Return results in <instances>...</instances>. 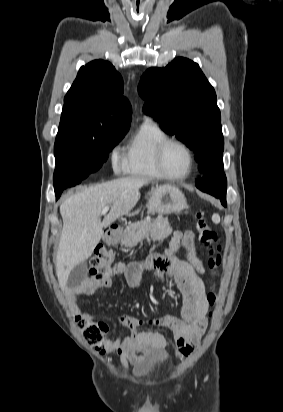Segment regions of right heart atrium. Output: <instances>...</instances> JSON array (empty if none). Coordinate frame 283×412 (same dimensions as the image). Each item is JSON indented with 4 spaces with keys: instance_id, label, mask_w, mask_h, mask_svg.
Listing matches in <instances>:
<instances>
[{
    "instance_id": "d8ad5b80",
    "label": "right heart atrium",
    "mask_w": 283,
    "mask_h": 412,
    "mask_svg": "<svg viewBox=\"0 0 283 412\" xmlns=\"http://www.w3.org/2000/svg\"><path fill=\"white\" fill-rule=\"evenodd\" d=\"M111 161L115 170H119L122 167L123 155L119 145H115L111 150Z\"/></svg>"
}]
</instances>
